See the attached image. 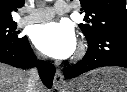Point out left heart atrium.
I'll return each mask as SVG.
<instances>
[{
    "label": "left heart atrium",
    "mask_w": 127,
    "mask_h": 92,
    "mask_svg": "<svg viewBox=\"0 0 127 92\" xmlns=\"http://www.w3.org/2000/svg\"><path fill=\"white\" fill-rule=\"evenodd\" d=\"M33 41L41 52L57 59L70 57L76 49L74 29L63 22L37 26L33 32Z\"/></svg>",
    "instance_id": "39dd6f15"
}]
</instances>
